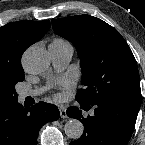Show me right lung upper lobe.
<instances>
[{
	"label": "right lung upper lobe",
	"mask_w": 145,
	"mask_h": 145,
	"mask_svg": "<svg viewBox=\"0 0 145 145\" xmlns=\"http://www.w3.org/2000/svg\"><path fill=\"white\" fill-rule=\"evenodd\" d=\"M50 28V21H18L0 27V87L24 75L21 57Z\"/></svg>",
	"instance_id": "obj_1"
}]
</instances>
